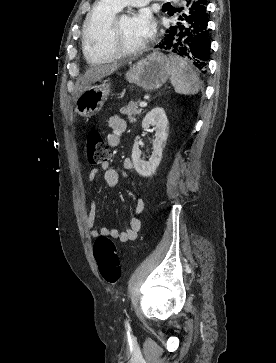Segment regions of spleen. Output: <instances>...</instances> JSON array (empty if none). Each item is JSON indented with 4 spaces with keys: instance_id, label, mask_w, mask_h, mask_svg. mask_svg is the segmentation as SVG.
<instances>
[{
    "instance_id": "3e777b00",
    "label": "spleen",
    "mask_w": 276,
    "mask_h": 363,
    "mask_svg": "<svg viewBox=\"0 0 276 363\" xmlns=\"http://www.w3.org/2000/svg\"><path fill=\"white\" fill-rule=\"evenodd\" d=\"M171 61V83L178 94L194 95L201 88V82L197 73L184 59L170 55Z\"/></svg>"
}]
</instances>
